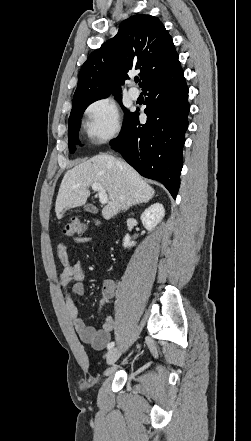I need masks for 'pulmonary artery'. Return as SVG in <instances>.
<instances>
[{"label":"pulmonary artery","instance_id":"1","mask_svg":"<svg viewBox=\"0 0 251 441\" xmlns=\"http://www.w3.org/2000/svg\"><path fill=\"white\" fill-rule=\"evenodd\" d=\"M132 83V82H130ZM128 94L131 99L136 100L139 98L140 91L136 87H131L128 91Z\"/></svg>","mask_w":251,"mask_h":441}]
</instances>
